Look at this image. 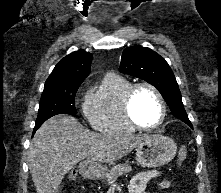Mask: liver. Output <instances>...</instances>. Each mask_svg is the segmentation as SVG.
Masks as SVG:
<instances>
[{
	"mask_svg": "<svg viewBox=\"0 0 221 193\" xmlns=\"http://www.w3.org/2000/svg\"><path fill=\"white\" fill-rule=\"evenodd\" d=\"M148 138L98 134L90 132L71 116L52 117L37 130L29 148L28 165L36 191L59 193L62 179L81 160L111 164Z\"/></svg>",
	"mask_w": 221,
	"mask_h": 193,
	"instance_id": "6515ba94",
	"label": "liver"
}]
</instances>
